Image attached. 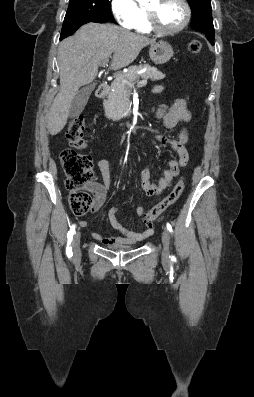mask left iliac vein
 <instances>
[{
	"label": "left iliac vein",
	"instance_id": "4c4485c4",
	"mask_svg": "<svg viewBox=\"0 0 254 397\" xmlns=\"http://www.w3.org/2000/svg\"><path fill=\"white\" fill-rule=\"evenodd\" d=\"M162 243H163L162 259L164 262H168L170 258V252H169L170 234L167 229H164L162 233Z\"/></svg>",
	"mask_w": 254,
	"mask_h": 397
}]
</instances>
